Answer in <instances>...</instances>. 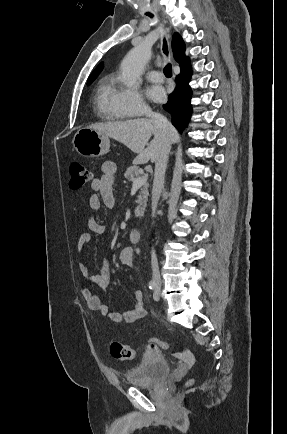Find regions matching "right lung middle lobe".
I'll use <instances>...</instances> for the list:
<instances>
[{
  "mask_svg": "<svg viewBox=\"0 0 287 434\" xmlns=\"http://www.w3.org/2000/svg\"><path fill=\"white\" fill-rule=\"evenodd\" d=\"M92 83V81L91 82H87V85H90Z\"/></svg>",
  "mask_w": 287,
  "mask_h": 434,
  "instance_id": "obj_1",
  "label": "right lung middle lobe"
}]
</instances>
